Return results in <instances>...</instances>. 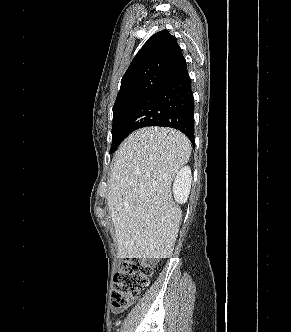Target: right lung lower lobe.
Here are the masks:
<instances>
[{"label":"right lung lower lobe","mask_w":291,"mask_h":332,"mask_svg":"<svg viewBox=\"0 0 291 332\" xmlns=\"http://www.w3.org/2000/svg\"><path fill=\"white\" fill-rule=\"evenodd\" d=\"M194 99L187 69L156 86L138 105L124 127L126 137L147 126L171 127L194 144Z\"/></svg>","instance_id":"1"}]
</instances>
